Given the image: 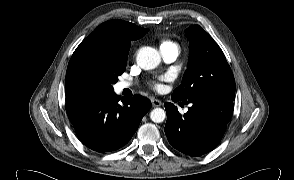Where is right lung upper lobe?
<instances>
[{
  "mask_svg": "<svg viewBox=\"0 0 294 180\" xmlns=\"http://www.w3.org/2000/svg\"><path fill=\"white\" fill-rule=\"evenodd\" d=\"M148 29L122 20H109L98 26L86 37L73 55L95 49H110L128 56L131 41L143 37Z\"/></svg>",
  "mask_w": 294,
  "mask_h": 180,
  "instance_id": "obj_1",
  "label": "right lung upper lobe"
}]
</instances>
